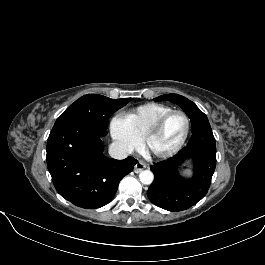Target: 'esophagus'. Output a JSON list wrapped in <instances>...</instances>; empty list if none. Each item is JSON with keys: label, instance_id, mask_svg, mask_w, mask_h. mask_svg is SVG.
Returning <instances> with one entry per match:
<instances>
[{"label": "esophagus", "instance_id": "1", "mask_svg": "<svg viewBox=\"0 0 265 265\" xmlns=\"http://www.w3.org/2000/svg\"><path fill=\"white\" fill-rule=\"evenodd\" d=\"M146 168V165L142 162V161H139L135 167H134V171L136 173H140L141 171H143L144 169Z\"/></svg>", "mask_w": 265, "mask_h": 265}]
</instances>
